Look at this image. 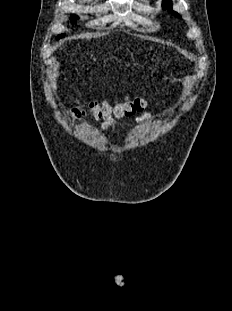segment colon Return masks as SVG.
<instances>
[{"instance_id": "5ec220e1", "label": "colon", "mask_w": 232, "mask_h": 311, "mask_svg": "<svg viewBox=\"0 0 232 311\" xmlns=\"http://www.w3.org/2000/svg\"><path fill=\"white\" fill-rule=\"evenodd\" d=\"M145 101L139 97L126 98L114 104L106 102H91L87 107L76 104L72 108V114L76 118L90 115L97 120L110 121L117 118L128 117L145 108Z\"/></svg>"}]
</instances>
